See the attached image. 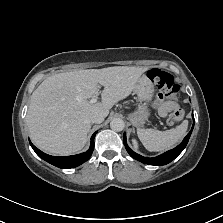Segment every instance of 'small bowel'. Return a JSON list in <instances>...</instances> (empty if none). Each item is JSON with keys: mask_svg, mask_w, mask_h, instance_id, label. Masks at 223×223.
Returning a JSON list of instances; mask_svg holds the SVG:
<instances>
[{"mask_svg": "<svg viewBox=\"0 0 223 223\" xmlns=\"http://www.w3.org/2000/svg\"><path fill=\"white\" fill-rule=\"evenodd\" d=\"M156 105L158 107V111L160 115L164 116L169 111L175 109L177 107L176 100L173 98H170L169 100H164L162 94H158L156 97Z\"/></svg>", "mask_w": 223, "mask_h": 223, "instance_id": "1", "label": "small bowel"}]
</instances>
